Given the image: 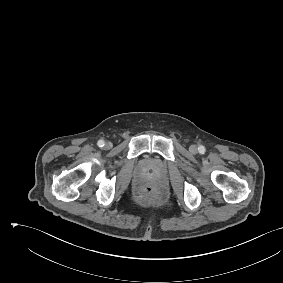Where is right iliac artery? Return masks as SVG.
Returning <instances> with one entry per match:
<instances>
[{
    "instance_id": "1",
    "label": "right iliac artery",
    "mask_w": 283,
    "mask_h": 283,
    "mask_svg": "<svg viewBox=\"0 0 283 283\" xmlns=\"http://www.w3.org/2000/svg\"><path fill=\"white\" fill-rule=\"evenodd\" d=\"M97 144L99 147H103L105 145V142L103 140H99Z\"/></svg>"
}]
</instances>
